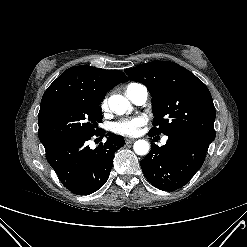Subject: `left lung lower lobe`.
<instances>
[{
    "instance_id": "left-lung-lower-lobe-1",
    "label": "left lung lower lobe",
    "mask_w": 247,
    "mask_h": 247,
    "mask_svg": "<svg viewBox=\"0 0 247 247\" xmlns=\"http://www.w3.org/2000/svg\"><path fill=\"white\" fill-rule=\"evenodd\" d=\"M150 136H153L149 132ZM166 145H153L141 161L147 180L156 188L174 191L186 185L202 166L211 142L190 133L167 135Z\"/></svg>"
}]
</instances>
